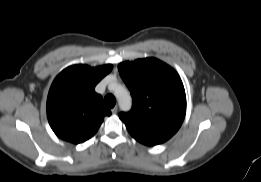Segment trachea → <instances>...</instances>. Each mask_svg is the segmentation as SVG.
Here are the masks:
<instances>
[{"label": "trachea", "mask_w": 261, "mask_h": 182, "mask_svg": "<svg viewBox=\"0 0 261 182\" xmlns=\"http://www.w3.org/2000/svg\"><path fill=\"white\" fill-rule=\"evenodd\" d=\"M104 104L106 105V107L108 108H113L116 104V99L113 95L108 94L104 97Z\"/></svg>", "instance_id": "3493384b"}]
</instances>
